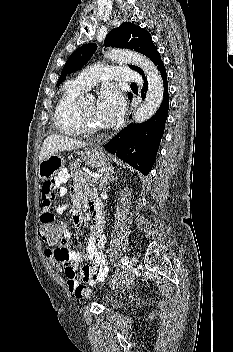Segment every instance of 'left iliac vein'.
<instances>
[{
    "mask_svg": "<svg viewBox=\"0 0 233 352\" xmlns=\"http://www.w3.org/2000/svg\"><path fill=\"white\" fill-rule=\"evenodd\" d=\"M136 263H137V259L135 257H132L130 259L129 265L131 268H133L136 265Z\"/></svg>",
    "mask_w": 233,
    "mask_h": 352,
    "instance_id": "1",
    "label": "left iliac vein"
}]
</instances>
